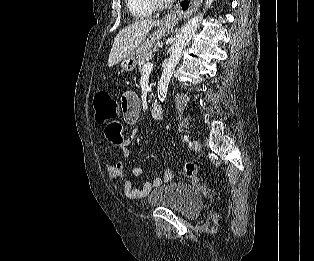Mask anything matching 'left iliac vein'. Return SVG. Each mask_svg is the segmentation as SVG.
I'll list each match as a JSON object with an SVG mask.
<instances>
[{"instance_id":"left-iliac-vein-1","label":"left iliac vein","mask_w":314,"mask_h":261,"mask_svg":"<svg viewBox=\"0 0 314 261\" xmlns=\"http://www.w3.org/2000/svg\"><path fill=\"white\" fill-rule=\"evenodd\" d=\"M192 147L195 151H199L201 148V143L198 140H193Z\"/></svg>"}]
</instances>
